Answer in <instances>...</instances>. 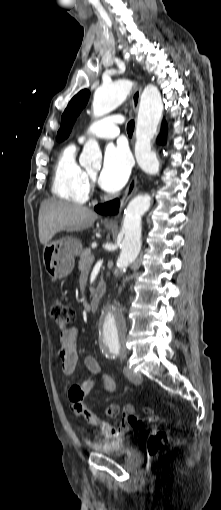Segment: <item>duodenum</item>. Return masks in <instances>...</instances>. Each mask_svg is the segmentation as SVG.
Listing matches in <instances>:
<instances>
[{
  "label": "duodenum",
  "instance_id": "duodenum-1",
  "mask_svg": "<svg viewBox=\"0 0 221 510\" xmlns=\"http://www.w3.org/2000/svg\"><path fill=\"white\" fill-rule=\"evenodd\" d=\"M104 285L103 284H99L97 286V289L96 291L94 292V294L90 297V300H89V303H88V307L90 309V311H96L99 307V304H100V299H101V296L102 294L104 293Z\"/></svg>",
  "mask_w": 221,
  "mask_h": 510
}]
</instances>
